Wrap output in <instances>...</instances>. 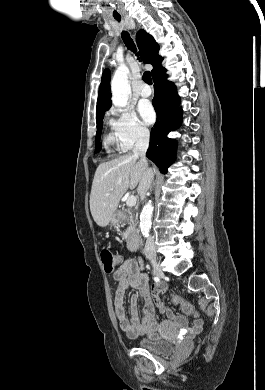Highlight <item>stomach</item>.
<instances>
[{
  "mask_svg": "<svg viewBox=\"0 0 265 390\" xmlns=\"http://www.w3.org/2000/svg\"><path fill=\"white\" fill-rule=\"evenodd\" d=\"M119 221H120V219H119L118 215L117 214H113V216L111 217V220H110V225L112 227H115V226H117L119 224Z\"/></svg>",
  "mask_w": 265,
  "mask_h": 390,
  "instance_id": "0dacf381",
  "label": "stomach"
}]
</instances>
